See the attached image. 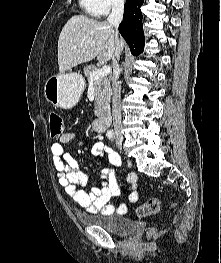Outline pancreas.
<instances>
[{"mask_svg":"<svg viewBox=\"0 0 221 263\" xmlns=\"http://www.w3.org/2000/svg\"><path fill=\"white\" fill-rule=\"evenodd\" d=\"M98 69L95 65H89L84 68V75L87 77L89 83L93 84L95 94V110L96 116L101 115L104 110L108 107L111 96L110 79L106 76L99 79L91 80V74L96 72Z\"/></svg>","mask_w":221,"mask_h":263,"instance_id":"cf45deb5","label":"pancreas"}]
</instances>
